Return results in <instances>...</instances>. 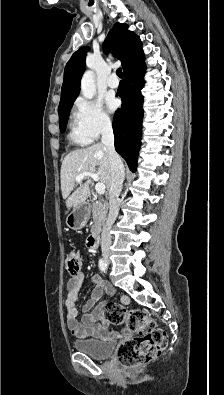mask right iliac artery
I'll return each instance as SVG.
<instances>
[{
    "label": "right iliac artery",
    "instance_id": "obj_1",
    "mask_svg": "<svg viewBox=\"0 0 224 395\" xmlns=\"http://www.w3.org/2000/svg\"><path fill=\"white\" fill-rule=\"evenodd\" d=\"M99 268L102 272H106V270H107V264L105 263V261L103 259L99 260Z\"/></svg>",
    "mask_w": 224,
    "mask_h": 395
}]
</instances>
